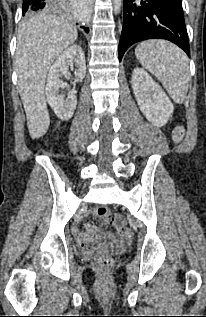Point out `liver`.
Instances as JSON below:
<instances>
[{"label": "liver", "mask_w": 206, "mask_h": 317, "mask_svg": "<svg viewBox=\"0 0 206 317\" xmlns=\"http://www.w3.org/2000/svg\"><path fill=\"white\" fill-rule=\"evenodd\" d=\"M77 37L72 23L51 13L38 14L20 26L16 49L18 90L32 139L42 137L50 124L44 95L49 68Z\"/></svg>", "instance_id": "obj_1"}]
</instances>
